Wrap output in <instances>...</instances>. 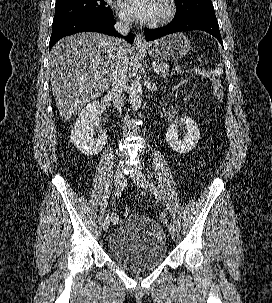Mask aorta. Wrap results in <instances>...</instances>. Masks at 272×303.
Wrapping results in <instances>:
<instances>
[{"mask_svg": "<svg viewBox=\"0 0 272 303\" xmlns=\"http://www.w3.org/2000/svg\"><path fill=\"white\" fill-rule=\"evenodd\" d=\"M129 101L133 110L137 111L142 103V85L139 80L132 82L129 89Z\"/></svg>", "mask_w": 272, "mask_h": 303, "instance_id": "obj_1", "label": "aorta"}]
</instances>
